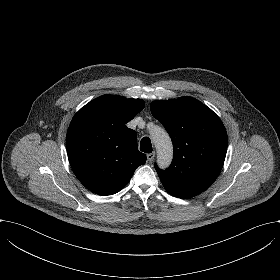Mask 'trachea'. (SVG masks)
<instances>
[{"label":"trachea","instance_id":"trachea-1","mask_svg":"<svg viewBox=\"0 0 280 280\" xmlns=\"http://www.w3.org/2000/svg\"><path fill=\"white\" fill-rule=\"evenodd\" d=\"M140 150L145 153L152 152L151 140L148 137H143L140 142Z\"/></svg>","mask_w":280,"mask_h":280}]
</instances>
